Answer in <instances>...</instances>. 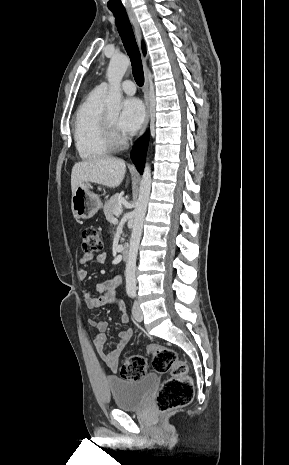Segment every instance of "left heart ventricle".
<instances>
[{
  "instance_id": "left-heart-ventricle-1",
  "label": "left heart ventricle",
  "mask_w": 289,
  "mask_h": 465,
  "mask_svg": "<svg viewBox=\"0 0 289 465\" xmlns=\"http://www.w3.org/2000/svg\"><path fill=\"white\" fill-rule=\"evenodd\" d=\"M110 118L112 119V121L117 124V118H118V112L117 111H110L108 112Z\"/></svg>"
}]
</instances>
